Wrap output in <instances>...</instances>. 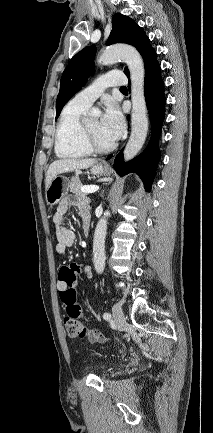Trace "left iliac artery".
<instances>
[{
  "label": "left iliac artery",
  "mask_w": 213,
  "mask_h": 433,
  "mask_svg": "<svg viewBox=\"0 0 213 433\" xmlns=\"http://www.w3.org/2000/svg\"><path fill=\"white\" fill-rule=\"evenodd\" d=\"M103 318H104L105 320H110V319H111V314L105 312V313L103 314Z\"/></svg>",
  "instance_id": "left-iliac-artery-1"
}]
</instances>
